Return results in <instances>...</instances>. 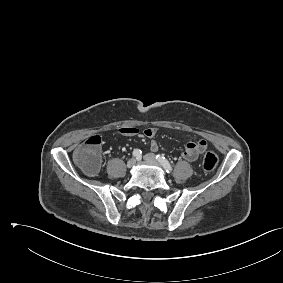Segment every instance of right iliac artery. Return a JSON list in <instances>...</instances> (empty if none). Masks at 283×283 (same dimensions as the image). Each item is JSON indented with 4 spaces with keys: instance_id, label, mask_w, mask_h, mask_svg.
I'll return each mask as SVG.
<instances>
[{
    "instance_id": "1",
    "label": "right iliac artery",
    "mask_w": 283,
    "mask_h": 283,
    "mask_svg": "<svg viewBox=\"0 0 283 283\" xmlns=\"http://www.w3.org/2000/svg\"><path fill=\"white\" fill-rule=\"evenodd\" d=\"M141 155H142L141 150H139V149H134V151H133V156H134L136 159H140V158H141Z\"/></svg>"
}]
</instances>
